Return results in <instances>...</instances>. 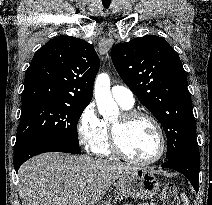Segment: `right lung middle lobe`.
<instances>
[{
    "mask_svg": "<svg viewBox=\"0 0 212 205\" xmlns=\"http://www.w3.org/2000/svg\"><path fill=\"white\" fill-rule=\"evenodd\" d=\"M87 105L43 99L22 102L14 148L41 138L59 139L79 146L77 124Z\"/></svg>",
    "mask_w": 212,
    "mask_h": 205,
    "instance_id": "1",
    "label": "right lung middle lobe"
}]
</instances>
